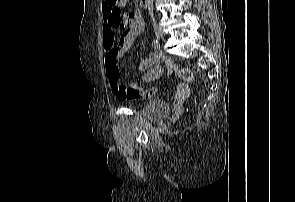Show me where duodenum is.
<instances>
[{"mask_svg":"<svg viewBox=\"0 0 295 202\" xmlns=\"http://www.w3.org/2000/svg\"><path fill=\"white\" fill-rule=\"evenodd\" d=\"M140 3L143 7H146L148 4V0H140Z\"/></svg>","mask_w":295,"mask_h":202,"instance_id":"410a0bca","label":"duodenum"}]
</instances>
